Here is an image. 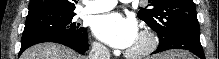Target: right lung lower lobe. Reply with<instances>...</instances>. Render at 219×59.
<instances>
[{"instance_id": "obj_1", "label": "right lung lower lobe", "mask_w": 219, "mask_h": 59, "mask_svg": "<svg viewBox=\"0 0 219 59\" xmlns=\"http://www.w3.org/2000/svg\"><path fill=\"white\" fill-rule=\"evenodd\" d=\"M88 39L86 41H82V40H77V39H73V38H69V37H55V38H49V39H45L42 41H38V42H33L30 44H27L25 46H21L19 55L26 50L27 48H29L32 45L38 44V43H42V42H55V43H60L63 45H66L72 49H74L75 51L83 54L88 50V43H87Z\"/></svg>"}]
</instances>
